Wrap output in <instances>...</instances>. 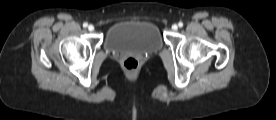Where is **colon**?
Returning a JSON list of instances; mask_svg holds the SVG:
<instances>
[{
	"label": "colon",
	"mask_w": 276,
	"mask_h": 120,
	"mask_svg": "<svg viewBox=\"0 0 276 120\" xmlns=\"http://www.w3.org/2000/svg\"><path fill=\"white\" fill-rule=\"evenodd\" d=\"M139 63L135 57H127L123 61V67L126 71L134 73L138 69Z\"/></svg>",
	"instance_id": "1"
}]
</instances>
